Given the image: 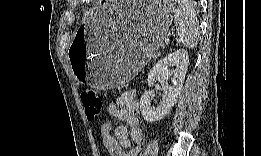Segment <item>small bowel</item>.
<instances>
[{"label": "small bowel", "mask_w": 261, "mask_h": 156, "mask_svg": "<svg viewBox=\"0 0 261 156\" xmlns=\"http://www.w3.org/2000/svg\"><path fill=\"white\" fill-rule=\"evenodd\" d=\"M109 113L125 122L126 125L113 127L105 122L100 127V135L105 149L111 156H137L143 142L138 112L139 104L136 91L130 90L112 101L108 106Z\"/></svg>", "instance_id": "c3829d8e"}]
</instances>
